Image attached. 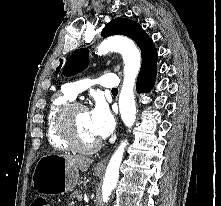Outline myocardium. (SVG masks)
I'll use <instances>...</instances> for the list:
<instances>
[{
  "label": "myocardium",
  "mask_w": 221,
  "mask_h": 206,
  "mask_svg": "<svg viewBox=\"0 0 221 206\" xmlns=\"http://www.w3.org/2000/svg\"><path fill=\"white\" fill-rule=\"evenodd\" d=\"M77 110L87 111V107L79 102L72 101L60 108L57 116L59 133L73 150L85 154L95 152L100 147V140L86 145L78 137L74 121V113Z\"/></svg>",
  "instance_id": "f54148a6"
}]
</instances>
